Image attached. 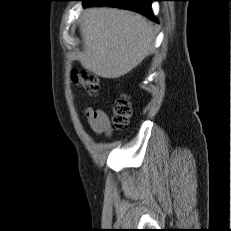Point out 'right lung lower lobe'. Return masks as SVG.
<instances>
[{"instance_id":"98d812e1","label":"right lung lower lobe","mask_w":231,"mask_h":231,"mask_svg":"<svg viewBox=\"0 0 231 231\" xmlns=\"http://www.w3.org/2000/svg\"><path fill=\"white\" fill-rule=\"evenodd\" d=\"M85 6H112L139 12L146 17L156 21L151 8L150 1L153 0H80Z\"/></svg>"}]
</instances>
